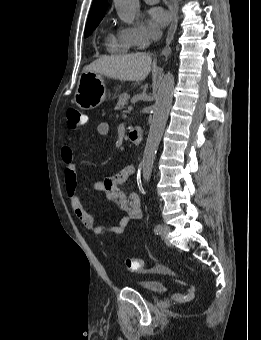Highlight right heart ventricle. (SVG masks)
<instances>
[{"label":"right heart ventricle","mask_w":261,"mask_h":340,"mask_svg":"<svg viewBox=\"0 0 261 340\" xmlns=\"http://www.w3.org/2000/svg\"><path fill=\"white\" fill-rule=\"evenodd\" d=\"M105 45L111 53H127L135 47L132 41L121 30L115 34L108 33Z\"/></svg>","instance_id":"right-heart-ventricle-1"}]
</instances>
